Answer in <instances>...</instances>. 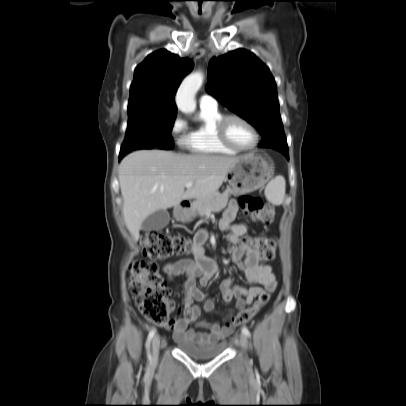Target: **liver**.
<instances>
[{
	"mask_svg": "<svg viewBox=\"0 0 406 406\" xmlns=\"http://www.w3.org/2000/svg\"><path fill=\"white\" fill-rule=\"evenodd\" d=\"M240 157L184 155L163 150H140L127 155L118 175L123 217L138 239L143 221L158 210L178 206L182 200L215 194ZM193 182L185 191L186 183Z\"/></svg>",
	"mask_w": 406,
	"mask_h": 406,
	"instance_id": "obj_1",
	"label": "liver"
}]
</instances>
